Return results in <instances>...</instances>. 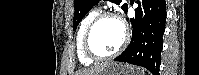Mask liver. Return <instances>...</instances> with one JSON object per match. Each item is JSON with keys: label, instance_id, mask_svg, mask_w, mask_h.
<instances>
[{"label": "liver", "instance_id": "obj_1", "mask_svg": "<svg viewBox=\"0 0 199 75\" xmlns=\"http://www.w3.org/2000/svg\"><path fill=\"white\" fill-rule=\"evenodd\" d=\"M105 67L106 65H102L87 70H80L76 75H98Z\"/></svg>", "mask_w": 199, "mask_h": 75}]
</instances>
